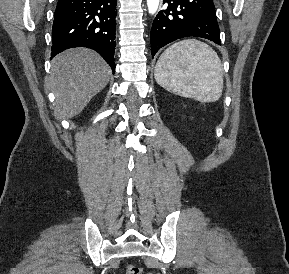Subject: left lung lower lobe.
<instances>
[{
	"instance_id": "0a47b994",
	"label": "left lung lower lobe",
	"mask_w": 289,
	"mask_h": 274,
	"mask_svg": "<svg viewBox=\"0 0 289 274\" xmlns=\"http://www.w3.org/2000/svg\"><path fill=\"white\" fill-rule=\"evenodd\" d=\"M165 3L151 29L152 56L166 44L188 36L221 44L213 0H163Z\"/></svg>"
}]
</instances>
